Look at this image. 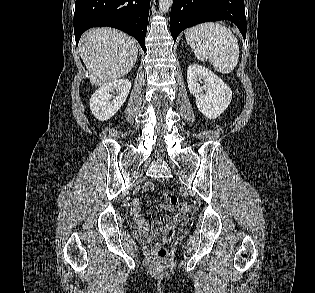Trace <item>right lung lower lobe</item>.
<instances>
[{
	"label": "right lung lower lobe",
	"mask_w": 315,
	"mask_h": 293,
	"mask_svg": "<svg viewBox=\"0 0 315 293\" xmlns=\"http://www.w3.org/2000/svg\"><path fill=\"white\" fill-rule=\"evenodd\" d=\"M150 0H76L74 34L76 45L91 27H114L135 37L146 52L145 36Z\"/></svg>",
	"instance_id": "obj_1"
}]
</instances>
